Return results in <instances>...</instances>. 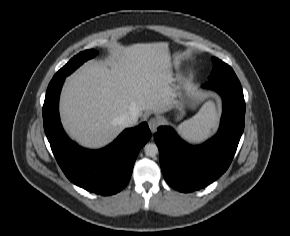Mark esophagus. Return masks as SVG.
<instances>
[{"instance_id":"34e87169","label":"esophagus","mask_w":290,"mask_h":236,"mask_svg":"<svg viewBox=\"0 0 290 236\" xmlns=\"http://www.w3.org/2000/svg\"><path fill=\"white\" fill-rule=\"evenodd\" d=\"M159 125H160V120L158 118L151 117L148 120V126L152 133H154L157 130Z\"/></svg>"}]
</instances>
